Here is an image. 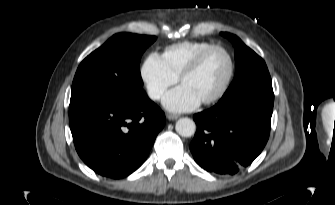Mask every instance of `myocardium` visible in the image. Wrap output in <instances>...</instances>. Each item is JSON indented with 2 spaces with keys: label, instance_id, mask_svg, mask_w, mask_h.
I'll return each instance as SVG.
<instances>
[{
  "label": "myocardium",
  "instance_id": "obj_1",
  "mask_svg": "<svg viewBox=\"0 0 335 205\" xmlns=\"http://www.w3.org/2000/svg\"><path fill=\"white\" fill-rule=\"evenodd\" d=\"M214 50H220L225 53V55L227 56L229 60V71L220 89L213 96L201 101V103L204 105H210V104H214L218 102L227 93L232 83V80L234 78L235 68H236L235 60H234L232 53L226 47L222 45H211L205 48L204 50H202L199 54H197L195 58L186 66V68L180 74V82L183 83L185 78L195 73L200 68V66L202 65L203 61L208 56V54Z\"/></svg>",
  "mask_w": 335,
  "mask_h": 205
}]
</instances>
